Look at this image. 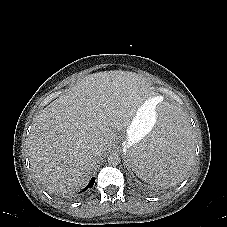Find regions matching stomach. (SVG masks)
Here are the masks:
<instances>
[{"label": "stomach", "instance_id": "stomach-1", "mask_svg": "<svg viewBox=\"0 0 227 227\" xmlns=\"http://www.w3.org/2000/svg\"><path fill=\"white\" fill-rule=\"evenodd\" d=\"M156 98L157 97L147 98L137 108L130 124L126 128V139L123 143L124 150L129 143L143 138L148 129L156 122L158 118L157 112L154 109Z\"/></svg>", "mask_w": 227, "mask_h": 227}]
</instances>
